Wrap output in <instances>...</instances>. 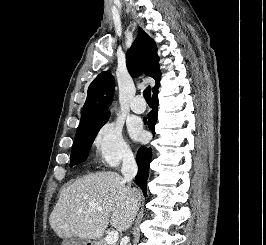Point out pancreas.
Returning a JSON list of instances; mask_svg holds the SVG:
<instances>
[{"instance_id": "obj_1", "label": "pancreas", "mask_w": 266, "mask_h": 245, "mask_svg": "<svg viewBox=\"0 0 266 245\" xmlns=\"http://www.w3.org/2000/svg\"><path fill=\"white\" fill-rule=\"evenodd\" d=\"M97 245H106V243L103 241V239H101V241H98Z\"/></svg>"}]
</instances>
